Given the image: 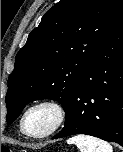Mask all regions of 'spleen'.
<instances>
[{
    "label": "spleen",
    "mask_w": 123,
    "mask_h": 152,
    "mask_svg": "<svg viewBox=\"0 0 123 152\" xmlns=\"http://www.w3.org/2000/svg\"><path fill=\"white\" fill-rule=\"evenodd\" d=\"M67 143L76 145L80 152H113L112 146L106 141L84 134L71 137Z\"/></svg>",
    "instance_id": "1"
}]
</instances>
